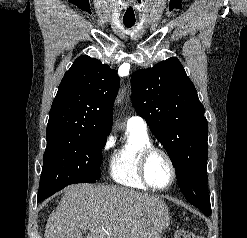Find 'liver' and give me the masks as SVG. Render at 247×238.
Segmentation results:
<instances>
[{"instance_id": "1", "label": "liver", "mask_w": 247, "mask_h": 238, "mask_svg": "<svg viewBox=\"0 0 247 238\" xmlns=\"http://www.w3.org/2000/svg\"><path fill=\"white\" fill-rule=\"evenodd\" d=\"M170 221L156 196L114 185L74 184L65 188L49 215L45 238H158Z\"/></svg>"}]
</instances>
